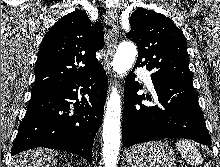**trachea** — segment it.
<instances>
[{
  "mask_svg": "<svg viewBox=\"0 0 220 167\" xmlns=\"http://www.w3.org/2000/svg\"><path fill=\"white\" fill-rule=\"evenodd\" d=\"M111 28H112L111 26L107 25V29H111Z\"/></svg>",
  "mask_w": 220,
  "mask_h": 167,
  "instance_id": "1",
  "label": "trachea"
}]
</instances>
